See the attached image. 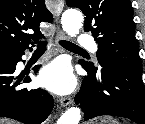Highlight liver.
Instances as JSON below:
<instances>
[{"mask_svg": "<svg viewBox=\"0 0 145 124\" xmlns=\"http://www.w3.org/2000/svg\"><path fill=\"white\" fill-rule=\"evenodd\" d=\"M0 124H11L10 122L0 121Z\"/></svg>", "mask_w": 145, "mask_h": 124, "instance_id": "6515ba94", "label": "liver"}]
</instances>
